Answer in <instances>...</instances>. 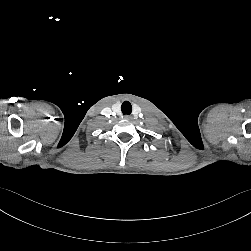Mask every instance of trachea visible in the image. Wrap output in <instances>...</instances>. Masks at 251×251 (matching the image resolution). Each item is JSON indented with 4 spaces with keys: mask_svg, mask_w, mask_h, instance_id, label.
Returning a JSON list of instances; mask_svg holds the SVG:
<instances>
[{
    "mask_svg": "<svg viewBox=\"0 0 251 251\" xmlns=\"http://www.w3.org/2000/svg\"><path fill=\"white\" fill-rule=\"evenodd\" d=\"M121 111L124 115H130L132 112V106L131 103L128 101H124L121 106Z\"/></svg>",
    "mask_w": 251,
    "mask_h": 251,
    "instance_id": "3493384b",
    "label": "trachea"
}]
</instances>
